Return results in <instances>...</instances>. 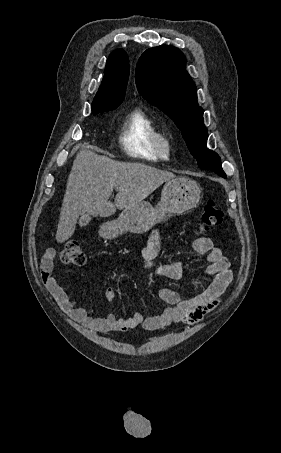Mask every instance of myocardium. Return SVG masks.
Wrapping results in <instances>:
<instances>
[{
  "instance_id": "obj_1",
  "label": "myocardium",
  "mask_w": 281,
  "mask_h": 453,
  "mask_svg": "<svg viewBox=\"0 0 281 453\" xmlns=\"http://www.w3.org/2000/svg\"><path fill=\"white\" fill-rule=\"evenodd\" d=\"M159 154L161 158H168L172 152V145L170 139L166 135H161L158 138Z\"/></svg>"
}]
</instances>
